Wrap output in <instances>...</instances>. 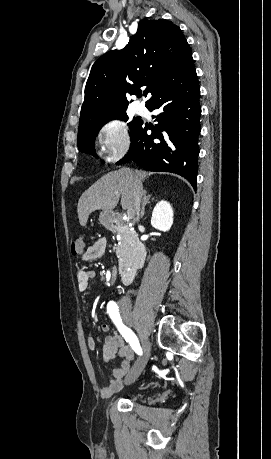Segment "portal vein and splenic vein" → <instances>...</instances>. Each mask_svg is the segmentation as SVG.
<instances>
[{
    "instance_id": "obj_1",
    "label": "portal vein and splenic vein",
    "mask_w": 271,
    "mask_h": 459,
    "mask_svg": "<svg viewBox=\"0 0 271 459\" xmlns=\"http://www.w3.org/2000/svg\"><path fill=\"white\" fill-rule=\"evenodd\" d=\"M131 212H132V210H128V212H127L128 216H131Z\"/></svg>"
}]
</instances>
